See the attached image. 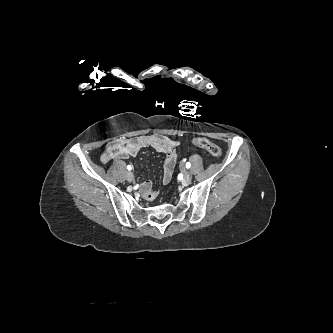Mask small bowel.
I'll return each instance as SVG.
<instances>
[{"label": "small bowel", "instance_id": "1", "mask_svg": "<svg viewBox=\"0 0 333 333\" xmlns=\"http://www.w3.org/2000/svg\"><path fill=\"white\" fill-rule=\"evenodd\" d=\"M179 144V141L170 139L162 134L142 135L133 139H116L106 146L105 151L101 155V162L107 164L111 160L134 157L141 149L150 147L165 155L162 182L167 184L172 178L177 163V148ZM141 191L145 198L150 201L155 199L157 195L150 181H146L141 185Z\"/></svg>", "mask_w": 333, "mask_h": 333}]
</instances>
